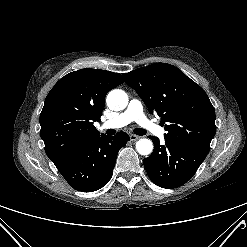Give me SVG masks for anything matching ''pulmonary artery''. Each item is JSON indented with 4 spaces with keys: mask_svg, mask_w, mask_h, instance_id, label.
<instances>
[{
    "mask_svg": "<svg viewBox=\"0 0 247 247\" xmlns=\"http://www.w3.org/2000/svg\"><path fill=\"white\" fill-rule=\"evenodd\" d=\"M133 121L137 122L144 129L158 137L162 138L164 135V130L146 117V115L143 112L142 104L138 99L131 100L127 109L124 112L104 122L101 128H121Z\"/></svg>",
    "mask_w": 247,
    "mask_h": 247,
    "instance_id": "pulmonary-artery-1",
    "label": "pulmonary artery"
}]
</instances>
